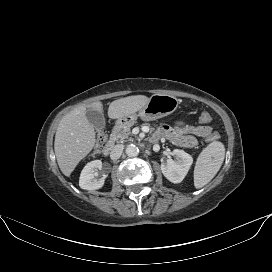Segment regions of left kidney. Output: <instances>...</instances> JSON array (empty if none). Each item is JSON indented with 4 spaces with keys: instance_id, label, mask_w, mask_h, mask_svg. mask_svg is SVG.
Instances as JSON below:
<instances>
[{
    "instance_id": "left-kidney-1",
    "label": "left kidney",
    "mask_w": 272,
    "mask_h": 272,
    "mask_svg": "<svg viewBox=\"0 0 272 272\" xmlns=\"http://www.w3.org/2000/svg\"><path fill=\"white\" fill-rule=\"evenodd\" d=\"M172 155L176 157V160L169 158L166 163H162L161 171L170 182L180 183L187 175L193 158L190 154L179 149H174Z\"/></svg>"
}]
</instances>
